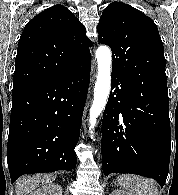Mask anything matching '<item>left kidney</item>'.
<instances>
[{
    "mask_svg": "<svg viewBox=\"0 0 178 195\" xmlns=\"http://www.w3.org/2000/svg\"><path fill=\"white\" fill-rule=\"evenodd\" d=\"M110 195H131L130 193L124 190H114Z\"/></svg>",
    "mask_w": 178,
    "mask_h": 195,
    "instance_id": "5707ae66",
    "label": "left kidney"
}]
</instances>
